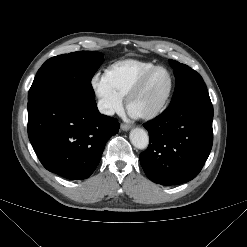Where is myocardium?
<instances>
[{
	"label": "myocardium",
	"mask_w": 247,
	"mask_h": 247,
	"mask_svg": "<svg viewBox=\"0 0 247 247\" xmlns=\"http://www.w3.org/2000/svg\"><path fill=\"white\" fill-rule=\"evenodd\" d=\"M158 70H164L169 77V87L164 95V97L153 107L148 109L145 112L142 113H136L132 110L133 102L143 93L145 90L148 82L150 81L153 74ZM174 88V79L172 76V73L168 68L165 66H154L150 70H148L143 76L138 80V82L135 84V86L130 90V92L127 95V109L130 113L134 114L135 116L142 118V119H153L160 115L164 109L166 108Z\"/></svg>",
	"instance_id": "obj_1"
}]
</instances>
